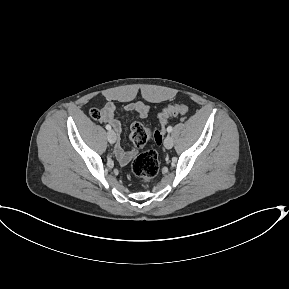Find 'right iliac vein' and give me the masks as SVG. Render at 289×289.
Listing matches in <instances>:
<instances>
[{"mask_svg": "<svg viewBox=\"0 0 289 289\" xmlns=\"http://www.w3.org/2000/svg\"><path fill=\"white\" fill-rule=\"evenodd\" d=\"M107 139L108 141L113 144L116 141V134L113 130H109L107 133Z\"/></svg>", "mask_w": 289, "mask_h": 289, "instance_id": "63e3f726", "label": "right iliac vein"}]
</instances>
